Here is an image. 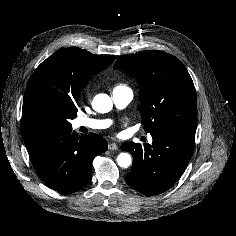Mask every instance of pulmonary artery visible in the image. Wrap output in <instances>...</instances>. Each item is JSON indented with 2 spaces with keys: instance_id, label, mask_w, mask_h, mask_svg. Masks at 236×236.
I'll return each mask as SVG.
<instances>
[{
  "instance_id": "obj_1",
  "label": "pulmonary artery",
  "mask_w": 236,
  "mask_h": 236,
  "mask_svg": "<svg viewBox=\"0 0 236 236\" xmlns=\"http://www.w3.org/2000/svg\"><path fill=\"white\" fill-rule=\"evenodd\" d=\"M133 99V92L127 87H117L112 92V100L115 106L119 109L125 108ZM76 128L102 129L106 128L110 122L109 120H98L91 118H78L75 120Z\"/></svg>"
}]
</instances>
